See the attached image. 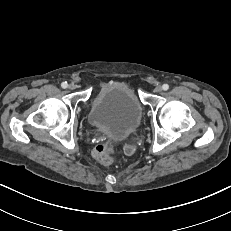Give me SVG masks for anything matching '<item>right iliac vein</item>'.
Listing matches in <instances>:
<instances>
[{"label":"right iliac vein","mask_w":231,"mask_h":231,"mask_svg":"<svg viewBox=\"0 0 231 231\" xmlns=\"http://www.w3.org/2000/svg\"><path fill=\"white\" fill-rule=\"evenodd\" d=\"M75 88H76V86L73 83L68 85L69 90H74Z\"/></svg>","instance_id":"63e3f726"}]
</instances>
